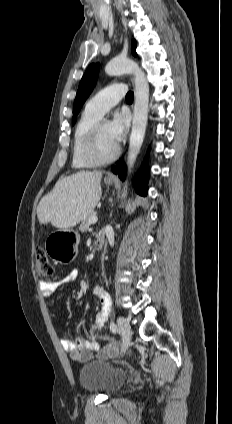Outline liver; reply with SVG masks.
Segmentation results:
<instances>
[{
	"instance_id": "1",
	"label": "liver",
	"mask_w": 232,
	"mask_h": 424,
	"mask_svg": "<svg viewBox=\"0 0 232 424\" xmlns=\"http://www.w3.org/2000/svg\"><path fill=\"white\" fill-rule=\"evenodd\" d=\"M101 171H79L59 179L37 207L41 224L67 230L93 212L102 194Z\"/></svg>"
}]
</instances>
